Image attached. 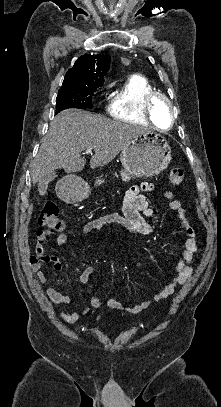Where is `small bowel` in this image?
Instances as JSON below:
<instances>
[{
  "label": "small bowel",
  "mask_w": 221,
  "mask_h": 407,
  "mask_svg": "<svg viewBox=\"0 0 221 407\" xmlns=\"http://www.w3.org/2000/svg\"><path fill=\"white\" fill-rule=\"evenodd\" d=\"M154 190L155 187L151 183H142L138 186H133L127 190L124 196L122 216L111 214L102 218L90 220L84 225L82 233L84 235H89L109 225H115L124 228L137 236L151 234L153 232V227L145 219V216H153L152 209L149 207V195ZM170 208L177 213L181 228L185 233L184 247L178 257L174 277L149 300L137 304H126L116 298H111L106 302L110 309L131 314L139 313L150 307L154 302L163 300L173 294L179 285L186 283L190 278L193 272L192 264L198 249L197 236L187 218L186 210L181 201H171ZM68 240L69 236L62 233L57 237L56 243L58 246H62ZM47 241L48 239L39 237L37 233L33 254L30 256L31 269L36 274L37 282L43 287L45 295L50 302L56 305L70 304L72 298L69 295L47 285V276L43 271V266L45 264H52L56 271H61L63 269L62 263L55 255L45 253V245ZM95 279V269L93 267H87L81 274L79 280L81 283L87 284L88 286L89 304L81 310L61 314V318L64 322L68 324L75 323L92 308L102 305V302L92 293ZM162 327H165V324H163Z\"/></svg>",
  "instance_id": "c3829d8e"
}]
</instances>
